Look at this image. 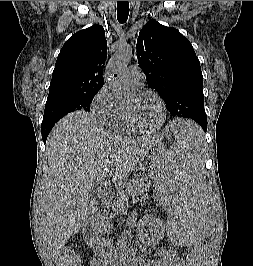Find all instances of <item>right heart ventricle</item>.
Here are the masks:
<instances>
[{"label": "right heart ventricle", "mask_w": 253, "mask_h": 266, "mask_svg": "<svg viewBox=\"0 0 253 266\" xmlns=\"http://www.w3.org/2000/svg\"><path fill=\"white\" fill-rule=\"evenodd\" d=\"M110 126L117 132L123 134L135 133L136 131L131 127L126 113L125 104L117 102L116 112L110 122Z\"/></svg>", "instance_id": "1"}]
</instances>
